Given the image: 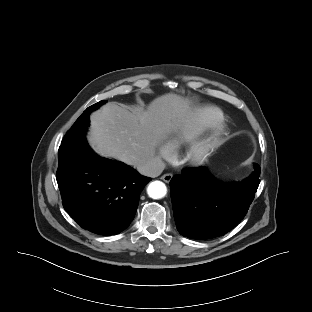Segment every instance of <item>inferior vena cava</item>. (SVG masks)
<instances>
[{"label":"inferior vena cava","instance_id":"602c4592","mask_svg":"<svg viewBox=\"0 0 312 312\" xmlns=\"http://www.w3.org/2000/svg\"><path fill=\"white\" fill-rule=\"evenodd\" d=\"M137 170L140 174L148 177L159 176L165 168V164L158 156L142 160L137 164Z\"/></svg>","mask_w":312,"mask_h":312}]
</instances>
